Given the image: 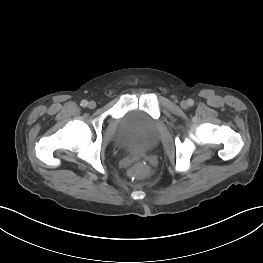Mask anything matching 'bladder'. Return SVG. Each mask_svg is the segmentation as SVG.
<instances>
[{
  "mask_svg": "<svg viewBox=\"0 0 263 263\" xmlns=\"http://www.w3.org/2000/svg\"><path fill=\"white\" fill-rule=\"evenodd\" d=\"M115 142L123 148L134 151L151 149L158 142L155 120L143 111H128L120 121Z\"/></svg>",
  "mask_w": 263,
  "mask_h": 263,
  "instance_id": "1",
  "label": "bladder"
}]
</instances>
